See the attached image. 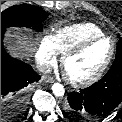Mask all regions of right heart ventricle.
Masks as SVG:
<instances>
[{
  "instance_id": "e07e8e85",
  "label": "right heart ventricle",
  "mask_w": 122,
  "mask_h": 122,
  "mask_svg": "<svg viewBox=\"0 0 122 122\" xmlns=\"http://www.w3.org/2000/svg\"><path fill=\"white\" fill-rule=\"evenodd\" d=\"M102 35V30L92 23H77L57 29L51 37L57 52L63 55L81 42Z\"/></svg>"
}]
</instances>
